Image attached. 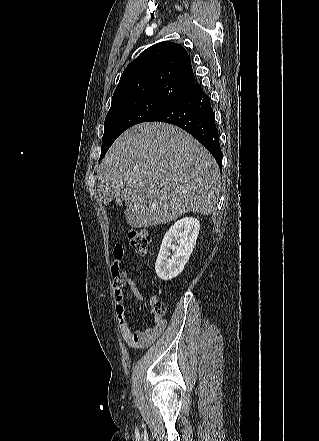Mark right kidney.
<instances>
[{
  "mask_svg": "<svg viewBox=\"0 0 319 441\" xmlns=\"http://www.w3.org/2000/svg\"><path fill=\"white\" fill-rule=\"evenodd\" d=\"M200 222L185 217L172 225L166 232L155 264L157 276L168 281L178 276L196 245Z\"/></svg>",
  "mask_w": 319,
  "mask_h": 441,
  "instance_id": "right-kidney-1",
  "label": "right kidney"
}]
</instances>
